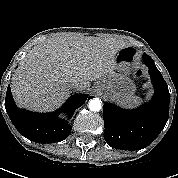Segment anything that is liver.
I'll list each match as a JSON object with an SVG mask.
<instances>
[{
  "label": "liver",
  "instance_id": "liver-1",
  "mask_svg": "<svg viewBox=\"0 0 178 178\" xmlns=\"http://www.w3.org/2000/svg\"><path fill=\"white\" fill-rule=\"evenodd\" d=\"M126 47L121 41L98 37H55L34 46L12 77L16 103L31 110L59 107L74 89L86 90L91 81L114 68L116 54Z\"/></svg>",
  "mask_w": 178,
  "mask_h": 178
}]
</instances>
